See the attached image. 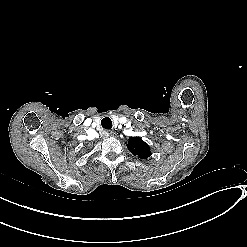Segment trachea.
<instances>
[{"label": "trachea", "mask_w": 247, "mask_h": 247, "mask_svg": "<svg viewBox=\"0 0 247 247\" xmlns=\"http://www.w3.org/2000/svg\"><path fill=\"white\" fill-rule=\"evenodd\" d=\"M101 125L105 129H111L112 128V122L108 117L102 119Z\"/></svg>", "instance_id": "obj_1"}]
</instances>
